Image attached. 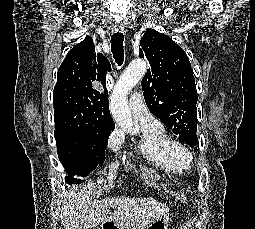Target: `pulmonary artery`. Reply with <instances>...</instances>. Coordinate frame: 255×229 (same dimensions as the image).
<instances>
[{
    "instance_id": "pulmonary-artery-1",
    "label": "pulmonary artery",
    "mask_w": 255,
    "mask_h": 229,
    "mask_svg": "<svg viewBox=\"0 0 255 229\" xmlns=\"http://www.w3.org/2000/svg\"><path fill=\"white\" fill-rule=\"evenodd\" d=\"M129 106L134 120L143 126L155 127L159 122L149 113L140 93L131 94Z\"/></svg>"
}]
</instances>
